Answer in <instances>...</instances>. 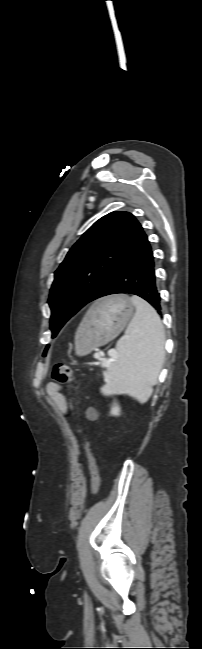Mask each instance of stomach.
<instances>
[{"label":"stomach","instance_id":"1","mask_svg":"<svg viewBox=\"0 0 202 649\" xmlns=\"http://www.w3.org/2000/svg\"><path fill=\"white\" fill-rule=\"evenodd\" d=\"M133 315L134 304L127 295L109 296L94 303L75 334L78 354H89L109 342L124 329Z\"/></svg>","mask_w":202,"mask_h":649}]
</instances>
